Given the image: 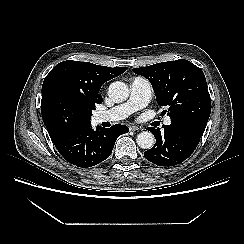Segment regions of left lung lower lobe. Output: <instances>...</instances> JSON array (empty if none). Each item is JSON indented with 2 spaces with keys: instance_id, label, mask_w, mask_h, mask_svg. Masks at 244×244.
I'll list each match as a JSON object with an SVG mask.
<instances>
[{
  "instance_id": "0a47b994",
  "label": "left lung lower lobe",
  "mask_w": 244,
  "mask_h": 244,
  "mask_svg": "<svg viewBox=\"0 0 244 244\" xmlns=\"http://www.w3.org/2000/svg\"><path fill=\"white\" fill-rule=\"evenodd\" d=\"M163 127V133L159 128H148L154 134L156 144L144 152V157L158 166H174L190 157L202 133L179 124Z\"/></svg>"
}]
</instances>
